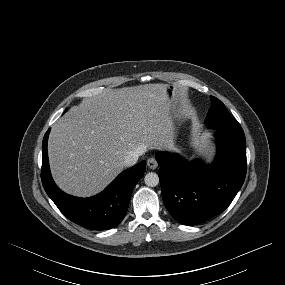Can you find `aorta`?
Listing matches in <instances>:
<instances>
[{
  "label": "aorta",
  "mask_w": 285,
  "mask_h": 285,
  "mask_svg": "<svg viewBox=\"0 0 285 285\" xmlns=\"http://www.w3.org/2000/svg\"><path fill=\"white\" fill-rule=\"evenodd\" d=\"M144 182L149 187H155L159 184V177L156 173H147L144 178Z\"/></svg>",
  "instance_id": "obj_1"
}]
</instances>
